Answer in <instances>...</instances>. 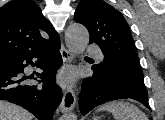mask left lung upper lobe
Listing matches in <instances>:
<instances>
[{
    "label": "left lung upper lobe",
    "mask_w": 165,
    "mask_h": 120,
    "mask_svg": "<svg viewBox=\"0 0 165 120\" xmlns=\"http://www.w3.org/2000/svg\"><path fill=\"white\" fill-rule=\"evenodd\" d=\"M74 20L89 31V43L97 44L104 60L96 67L102 73H113L121 81L144 85L134 41L123 15L103 0H81Z\"/></svg>",
    "instance_id": "1"
}]
</instances>
